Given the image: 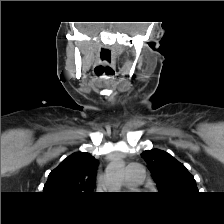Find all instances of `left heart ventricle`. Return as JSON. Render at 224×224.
<instances>
[{"label": "left heart ventricle", "instance_id": "obj_1", "mask_svg": "<svg viewBox=\"0 0 224 224\" xmlns=\"http://www.w3.org/2000/svg\"><path fill=\"white\" fill-rule=\"evenodd\" d=\"M123 186H125V187H129V186H127V185L125 184V182L123 183Z\"/></svg>", "mask_w": 224, "mask_h": 224}]
</instances>
